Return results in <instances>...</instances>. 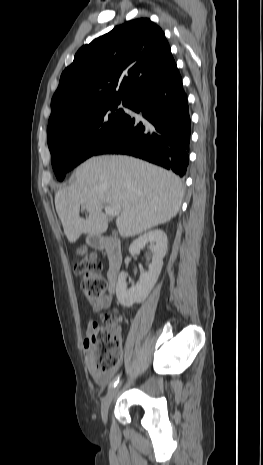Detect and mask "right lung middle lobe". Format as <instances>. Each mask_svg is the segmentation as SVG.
I'll return each mask as SVG.
<instances>
[{
	"mask_svg": "<svg viewBox=\"0 0 263 465\" xmlns=\"http://www.w3.org/2000/svg\"><path fill=\"white\" fill-rule=\"evenodd\" d=\"M128 99H110L74 109L48 123V146L58 180L68 171L95 155L123 119L125 113L117 110Z\"/></svg>",
	"mask_w": 263,
	"mask_h": 465,
	"instance_id": "right-lung-middle-lobe-1",
	"label": "right lung middle lobe"
}]
</instances>
